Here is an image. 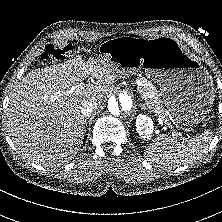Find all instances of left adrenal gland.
Masks as SVG:
<instances>
[{"mask_svg":"<svg viewBox=\"0 0 222 222\" xmlns=\"http://www.w3.org/2000/svg\"><path fill=\"white\" fill-rule=\"evenodd\" d=\"M142 109L147 110L146 106L144 104H141Z\"/></svg>","mask_w":222,"mask_h":222,"instance_id":"a2214340","label":"left adrenal gland"}]
</instances>
